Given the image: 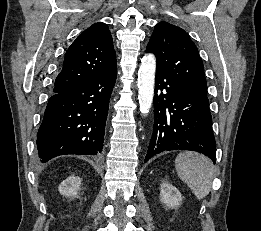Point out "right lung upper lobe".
<instances>
[{
    "mask_svg": "<svg viewBox=\"0 0 261 231\" xmlns=\"http://www.w3.org/2000/svg\"><path fill=\"white\" fill-rule=\"evenodd\" d=\"M115 66L116 55L108 26L95 23L69 46L53 92H64L84 84Z\"/></svg>",
    "mask_w": 261,
    "mask_h": 231,
    "instance_id": "1",
    "label": "right lung upper lobe"
}]
</instances>
